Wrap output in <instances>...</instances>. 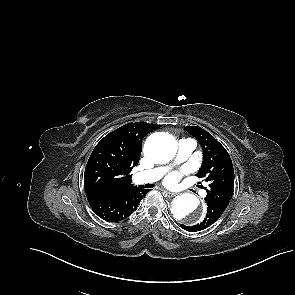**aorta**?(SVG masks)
Here are the masks:
<instances>
[{"instance_id":"762f6f07","label":"aorta","mask_w":295,"mask_h":295,"mask_svg":"<svg viewBox=\"0 0 295 295\" xmlns=\"http://www.w3.org/2000/svg\"><path fill=\"white\" fill-rule=\"evenodd\" d=\"M177 152L174 138L164 132L150 135L144 145L146 157L154 163L169 162ZM199 199L190 193L176 196L172 201L171 213L175 220L183 221L188 225L198 224L202 220V213H198Z\"/></svg>"}]
</instances>
